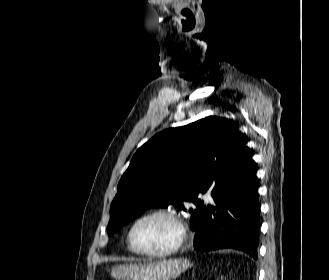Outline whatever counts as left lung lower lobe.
<instances>
[{
  "label": "left lung lower lobe",
  "instance_id": "0a47b994",
  "mask_svg": "<svg viewBox=\"0 0 329 280\" xmlns=\"http://www.w3.org/2000/svg\"><path fill=\"white\" fill-rule=\"evenodd\" d=\"M213 200L217 206L200 208L194 248L200 251L241 250L257 259L260 205L256 166L250 149L240 152V167L231 182Z\"/></svg>",
  "mask_w": 329,
  "mask_h": 280
}]
</instances>
